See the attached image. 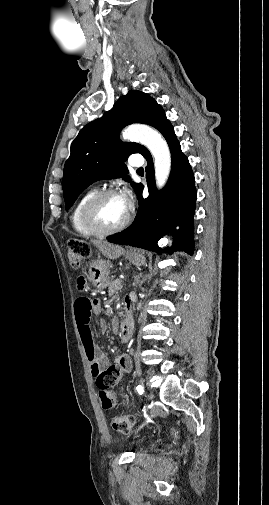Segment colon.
<instances>
[{"label":"colon","instance_id":"colon-1","mask_svg":"<svg viewBox=\"0 0 269 505\" xmlns=\"http://www.w3.org/2000/svg\"><path fill=\"white\" fill-rule=\"evenodd\" d=\"M89 256L90 248L87 245L76 241L69 244L68 259L74 269L80 268ZM119 379V372L113 367H108L96 375V384L100 389V399L104 409L113 408V388ZM134 422L132 415L116 416L112 420V426L115 431L127 434L132 429Z\"/></svg>","mask_w":269,"mask_h":505}]
</instances>
